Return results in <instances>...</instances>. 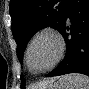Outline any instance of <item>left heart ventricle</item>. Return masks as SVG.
Here are the masks:
<instances>
[{"label":"left heart ventricle","instance_id":"obj_1","mask_svg":"<svg viewBox=\"0 0 89 89\" xmlns=\"http://www.w3.org/2000/svg\"><path fill=\"white\" fill-rule=\"evenodd\" d=\"M58 42L51 35L39 37L30 50L29 59L34 70H41L48 67L57 57Z\"/></svg>","mask_w":89,"mask_h":89}]
</instances>
